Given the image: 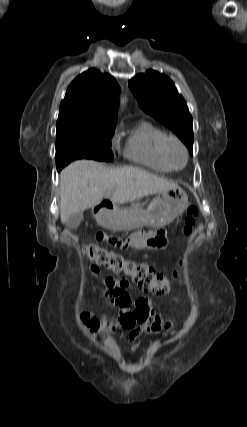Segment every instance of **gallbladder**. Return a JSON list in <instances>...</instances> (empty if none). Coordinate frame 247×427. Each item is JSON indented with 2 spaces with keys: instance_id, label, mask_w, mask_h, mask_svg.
<instances>
[{
  "instance_id": "bac80fb5",
  "label": "gallbladder",
  "mask_w": 247,
  "mask_h": 427,
  "mask_svg": "<svg viewBox=\"0 0 247 427\" xmlns=\"http://www.w3.org/2000/svg\"><path fill=\"white\" fill-rule=\"evenodd\" d=\"M82 220H83V212L80 211L78 213H74V214L70 215L67 218L65 224L68 228L75 229L80 225Z\"/></svg>"
}]
</instances>
